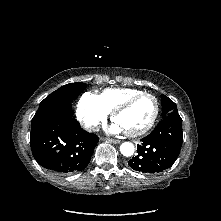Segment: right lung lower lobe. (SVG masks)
<instances>
[{
    "mask_svg": "<svg viewBox=\"0 0 221 221\" xmlns=\"http://www.w3.org/2000/svg\"><path fill=\"white\" fill-rule=\"evenodd\" d=\"M98 141L72 117L71 104L51 109L32 121V154L39 165L57 173L84 170Z\"/></svg>",
    "mask_w": 221,
    "mask_h": 221,
    "instance_id": "right-lung-lower-lobe-1",
    "label": "right lung lower lobe"
}]
</instances>
